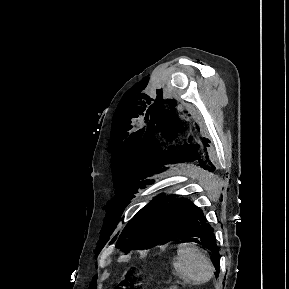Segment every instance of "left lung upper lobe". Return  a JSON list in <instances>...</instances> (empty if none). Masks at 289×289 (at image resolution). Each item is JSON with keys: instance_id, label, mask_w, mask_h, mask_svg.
Here are the masks:
<instances>
[{"instance_id": "5c2ea615", "label": "left lung upper lobe", "mask_w": 289, "mask_h": 289, "mask_svg": "<svg viewBox=\"0 0 289 289\" xmlns=\"http://www.w3.org/2000/svg\"><path fill=\"white\" fill-rule=\"evenodd\" d=\"M175 196H159L141 209L121 233L117 246L128 253L133 249H145L150 245L165 243L168 237V218L164 207Z\"/></svg>"}]
</instances>
